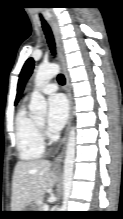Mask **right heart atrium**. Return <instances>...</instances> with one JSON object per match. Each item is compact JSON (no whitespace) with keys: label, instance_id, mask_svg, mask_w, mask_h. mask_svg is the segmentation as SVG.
<instances>
[{"label":"right heart atrium","instance_id":"right-heart-atrium-1","mask_svg":"<svg viewBox=\"0 0 123 219\" xmlns=\"http://www.w3.org/2000/svg\"><path fill=\"white\" fill-rule=\"evenodd\" d=\"M42 133H43L44 135H46V132H45V130H42Z\"/></svg>","mask_w":123,"mask_h":219}]
</instances>
